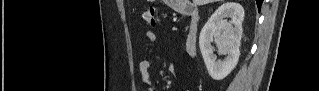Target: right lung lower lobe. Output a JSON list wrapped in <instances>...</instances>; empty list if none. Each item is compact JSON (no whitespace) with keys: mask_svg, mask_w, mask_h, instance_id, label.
Returning <instances> with one entry per match:
<instances>
[{"mask_svg":"<svg viewBox=\"0 0 319 91\" xmlns=\"http://www.w3.org/2000/svg\"><path fill=\"white\" fill-rule=\"evenodd\" d=\"M262 2L263 0H256L258 10H260Z\"/></svg>","mask_w":319,"mask_h":91,"instance_id":"right-lung-lower-lobe-1","label":"right lung lower lobe"}]
</instances>
